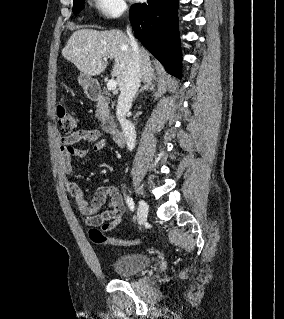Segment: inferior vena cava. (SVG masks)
<instances>
[{"label": "inferior vena cava", "mask_w": 284, "mask_h": 319, "mask_svg": "<svg viewBox=\"0 0 284 319\" xmlns=\"http://www.w3.org/2000/svg\"><path fill=\"white\" fill-rule=\"evenodd\" d=\"M127 34L130 41L132 50V58L128 65L127 74L125 76L124 84L120 89V95L117 102L116 114L121 124L128 150L132 151L136 143L135 127L131 121L125 118L126 113L130 110L133 98L136 95L137 90L141 83V70H140V58H139V46L134 36L131 33L130 28H127Z\"/></svg>", "instance_id": "obj_1"}]
</instances>
